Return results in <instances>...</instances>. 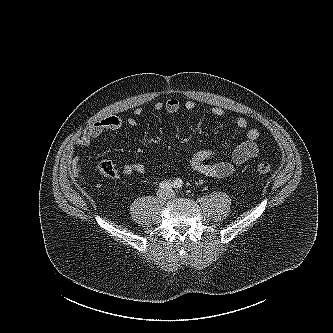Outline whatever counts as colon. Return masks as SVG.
I'll return each instance as SVG.
<instances>
[{
    "label": "colon",
    "mask_w": 333,
    "mask_h": 333,
    "mask_svg": "<svg viewBox=\"0 0 333 333\" xmlns=\"http://www.w3.org/2000/svg\"><path fill=\"white\" fill-rule=\"evenodd\" d=\"M255 169L261 174H267L273 170V164L267 160H258L255 163Z\"/></svg>",
    "instance_id": "5ec220e1"
}]
</instances>
